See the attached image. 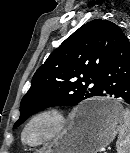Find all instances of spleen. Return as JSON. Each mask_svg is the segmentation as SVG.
Returning a JSON list of instances; mask_svg holds the SVG:
<instances>
[{
    "instance_id": "1",
    "label": "spleen",
    "mask_w": 130,
    "mask_h": 153,
    "mask_svg": "<svg viewBox=\"0 0 130 153\" xmlns=\"http://www.w3.org/2000/svg\"><path fill=\"white\" fill-rule=\"evenodd\" d=\"M117 153H130V110L123 111V123L118 128Z\"/></svg>"
}]
</instances>
